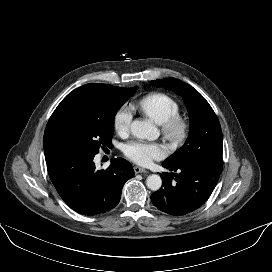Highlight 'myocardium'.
Listing matches in <instances>:
<instances>
[{
  "instance_id": "myocardium-1",
  "label": "myocardium",
  "mask_w": 272,
  "mask_h": 272,
  "mask_svg": "<svg viewBox=\"0 0 272 272\" xmlns=\"http://www.w3.org/2000/svg\"><path fill=\"white\" fill-rule=\"evenodd\" d=\"M161 129L164 138L172 145H177L187 137L189 125L184 117L177 114L162 123Z\"/></svg>"
}]
</instances>
